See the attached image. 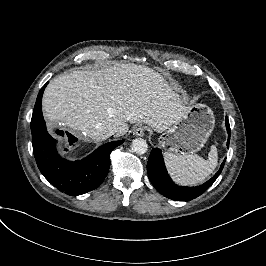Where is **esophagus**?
I'll use <instances>...</instances> for the list:
<instances>
[{"label":"esophagus","instance_id":"obj_1","mask_svg":"<svg viewBox=\"0 0 266 266\" xmlns=\"http://www.w3.org/2000/svg\"><path fill=\"white\" fill-rule=\"evenodd\" d=\"M145 131H146V130H145L144 126H138V127L134 130L133 134H134L135 136L142 137V136H144Z\"/></svg>","mask_w":266,"mask_h":266}]
</instances>
